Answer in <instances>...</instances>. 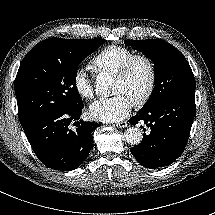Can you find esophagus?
Returning <instances> with one entry per match:
<instances>
[{"label": "esophagus", "mask_w": 215, "mask_h": 215, "mask_svg": "<svg viewBox=\"0 0 215 215\" xmlns=\"http://www.w3.org/2000/svg\"><path fill=\"white\" fill-rule=\"evenodd\" d=\"M128 126L127 122H120L116 124V127L118 128H126Z\"/></svg>", "instance_id": "esophagus-1"}]
</instances>
